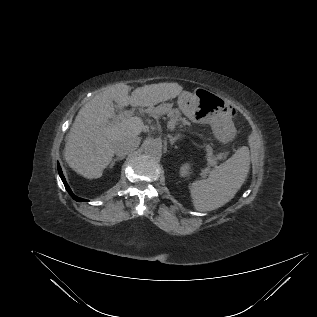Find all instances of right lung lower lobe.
Wrapping results in <instances>:
<instances>
[{
  "instance_id": "right-lung-lower-lobe-1",
  "label": "right lung lower lobe",
  "mask_w": 317,
  "mask_h": 317,
  "mask_svg": "<svg viewBox=\"0 0 317 317\" xmlns=\"http://www.w3.org/2000/svg\"><path fill=\"white\" fill-rule=\"evenodd\" d=\"M57 165H58L59 175H60V177H61V179H62V181H63V183H64V185H65V188H66V190L68 191V193H69V194L73 197V199H75L76 201H86L85 199L79 198V197L75 196V195L72 193L70 187L68 186V184H67V182H66V180H65V178H64V176H63V173H62V170H61V167H60L59 163H58Z\"/></svg>"
}]
</instances>
